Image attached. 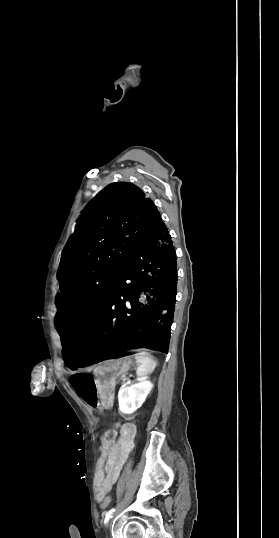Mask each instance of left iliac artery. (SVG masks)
<instances>
[{
	"label": "left iliac artery",
	"instance_id": "1",
	"mask_svg": "<svg viewBox=\"0 0 279 538\" xmlns=\"http://www.w3.org/2000/svg\"><path fill=\"white\" fill-rule=\"evenodd\" d=\"M115 511V508H112L111 510H109L108 512H106L105 514V520H104V523L106 524L108 522V520L110 519L112 513Z\"/></svg>",
	"mask_w": 279,
	"mask_h": 538
}]
</instances>
